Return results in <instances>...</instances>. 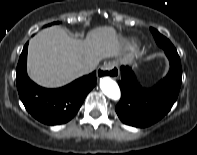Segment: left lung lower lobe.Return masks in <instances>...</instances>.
<instances>
[{"instance_id":"obj_1","label":"left lung lower lobe","mask_w":197,"mask_h":155,"mask_svg":"<svg viewBox=\"0 0 197 155\" xmlns=\"http://www.w3.org/2000/svg\"><path fill=\"white\" fill-rule=\"evenodd\" d=\"M170 62L166 77L152 88H143L129 66L121 67V99L115 110L120 120L130 126L147 127L164 117L176 101L182 69L176 50H164Z\"/></svg>"}]
</instances>
